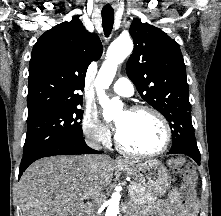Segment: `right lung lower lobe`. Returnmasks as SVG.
Instances as JSON below:
<instances>
[{
	"label": "right lung lower lobe",
	"instance_id": "right-lung-lower-lobe-1",
	"mask_svg": "<svg viewBox=\"0 0 221 216\" xmlns=\"http://www.w3.org/2000/svg\"><path fill=\"white\" fill-rule=\"evenodd\" d=\"M100 153L102 152L88 147L83 137L55 142L53 144L47 145L41 149H38L32 153L23 156L19 168V178L31 163L43 157L54 156V155L100 154Z\"/></svg>",
	"mask_w": 221,
	"mask_h": 216
}]
</instances>
